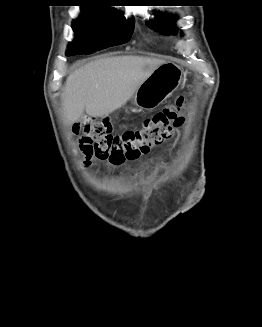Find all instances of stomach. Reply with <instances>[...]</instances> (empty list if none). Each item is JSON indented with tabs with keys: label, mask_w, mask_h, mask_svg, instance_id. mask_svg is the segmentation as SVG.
<instances>
[{
	"label": "stomach",
	"mask_w": 262,
	"mask_h": 327,
	"mask_svg": "<svg viewBox=\"0 0 262 327\" xmlns=\"http://www.w3.org/2000/svg\"><path fill=\"white\" fill-rule=\"evenodd\" d=\"M183 70L175 63L165 62L144 80L133 95L132 102L139 109L153 110L179 87Z\"/></svg>",
	"instance_id": "stomach-1"
}]
</instances>
